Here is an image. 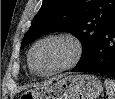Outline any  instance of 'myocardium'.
Returning a JSON list of instances; mask_svg holds the SVG:
<instances>
[{"mask_svg": "<svg viewBox=\"0 0 115 99\" xmlns=\"http://www.w3.org/2000/svg\"><path fill=\"white\" fill-rule=\"evenodd\" d=\"M58 39L66 40L67 42L71 44L73 48V54H72L71 59L66 64L54 70H51L49 72H40L39 70L36 69L33 63V54L36 48L44 42H47L50 40H58ZM83 52H84V47H83L82 41L73 33L66 32V31L50 33L38 39L32 45L28 53V65H29L30 70L36 75L41 76V77H50V76L56 75L58 73H61L63 71L73 68L81 60Z\"/></svg>", "mask_w": 115, "mask_h": 99, "instance_id": "myocardium-1", "label": "myocardium"}]
</instances>
